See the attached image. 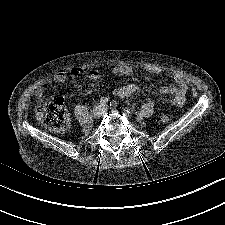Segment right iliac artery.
<instances>
[{
  "instance_id": "obj_1",
  "label": "right iliac artery",
  "mask_w": 225,
  "mask_h": 225,
  "mask_svg": "<svg viewBox=\"0 0 225 225\" xmlns=\"http://www.w3.org/2000/svg\"><path fill=\"white\" fill-rule=\"evenodd\" d=\"M108 102H109V99H108L107 97H102V98L100 99V103H101V105H103V106H106V105L108 104Z\"/></svg>"
}]
</instances>
